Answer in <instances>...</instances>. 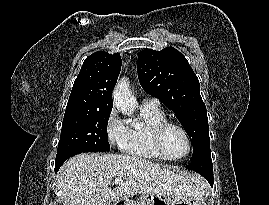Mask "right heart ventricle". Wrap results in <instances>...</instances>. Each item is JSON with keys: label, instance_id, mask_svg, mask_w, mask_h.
Returning a JSON list of instances; mask_svg holds the SVG:
<instances>
[{"label": "right heart ventricle", "instance_id": "obj_1", "mask_svg": "<svg viewBox=\"0 0 269 205\" xmlns=\"http://www.w3.org/2000/svg\"><path fill=\"white\" fill-rule=\"evenodd\" d=\"M142 127L129 129L128 141L123 151L126 155L145 160L161 161L151 143V132L154 126L166 120L165 114L159 108L141 107Z\"/></svg>", "mask_w": 269, "mask_h": 205}]
</instances>
